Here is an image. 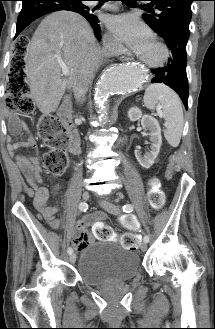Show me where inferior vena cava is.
<instances>
[{
	"label": "inferior vena cava",
	"mask_w": 215,
	"mask_h": 329,
	"mask_svg": "<svg viewBox=\"0 0 215 329\" xmlns=\"http://www.w3.org/2000/svg\"><path fill=\"white\" fill-rule=\"evenodd\" d=\"M111 50L104 46L101 48L91 49L84 57L79 67L75 82L73 84V92L77 101H84L85 94L94 77L95 71L98 69L103 56L109 55Z\"/></svg>",
	"instance_id": "602c4592"
}]
</instances>
